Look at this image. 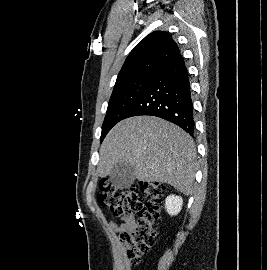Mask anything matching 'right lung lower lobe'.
<instances>
[{
  "instance_id": "98d812e1",
  "label": "right lung lower lobe",
  "mask_w": 267,
  "mask_h": 270,
  "mask_svg": "<svg viewBox=\"0 0 267 270\" xmlns=\"http://www.w3.org/2000/svg\"><path fill=\"white\" fill-rule=\"evenodd\" d=\"M139 115L163 118L194 135L190 82L181 54L155 74L147 90L125 118Z\"/></svg>"
}]
</instances>
